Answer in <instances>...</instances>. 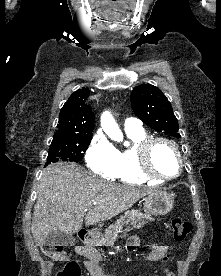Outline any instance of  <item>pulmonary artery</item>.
Returning a JSON list of instances; mask_svg holds the SVG:
<instances>
[{
	"instance_id": "obj_1",
	"label": "pulmonary artery",
	"mask_w": 221,
	"mask_h": 276,
	"mask_svg": "<svg viewBox=\"0 0 221 276\" xmlns=\"http://www.w3.org/2000/svg\"><path fill=\"white\" fill-rule=\"evenodd\" d=\"M125 130H140L142 129V123L137 118H127L124 122Z\"/></svg>"
}]
</instances>
